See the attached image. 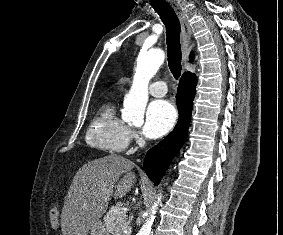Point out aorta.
<instances>
[{
	"mask_svg": "<svg viewBox=\"0 0 283 235\" xmlns=\"http://www.w3.org/2000/svg\"><path fill=\"white\" fill-rule=\"evenodd\" d=\"M165 59V53L161 49H151L141 52L137 58L136 72L133 85L124 99L122 119L126 122L141 123L148 101V84L157 73ZM162 194H158L157 200L149 210V215L137 235H150L151 227Z\"/></svg>",
	"mask_w": 283,
	"mask_h": 235,
	"instance_id": "aorta-1",
	"label": "aorta"
}]
</instances>
